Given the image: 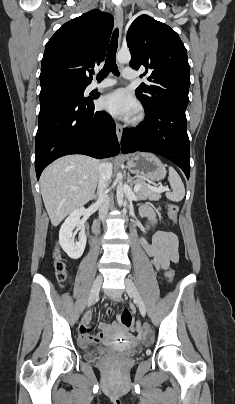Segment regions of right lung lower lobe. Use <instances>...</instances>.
Returning a JSON list of instances; mask_svg holds the SVG:
<instances>
[{"label":"right lung lower lobe","mask_w":235,"mask_h":404,"mask_svg":"<svg viewBox=\"0 0 235 404\" xmlns=\"http://www.w3.org/2000/svg\"><path fill=\"white\" fill-rule=\"evenodd\" d=\"M119 152L115 122L105 111L95 112L91 100L71 102L50 98L40 101L35 141L37 179L47 165L64 155L105 158Z\"/></svg>","instance_id":"obj_1"}]
</instances>
